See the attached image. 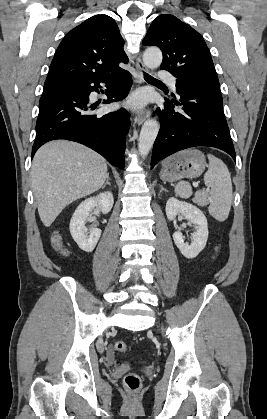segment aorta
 <instances>
[{"instance_id":"1","label":"aorta","mask_w":267,"mask_h":419,"mask_svg":"<svg viewBox=\"0 0 267 419\" xmlns=\"http://www.w3.org/2000/svg\"><path fill=\"white\" fill-rule=\"evenodd\" d=\"M162 62V52L158 48H148L143 54V63L147 68L155 69ZM160 125L157 120L151 118L145 121L141 128L138 150L141 157L148 155L157 137Z\"/></svg>"}]
</instances>
